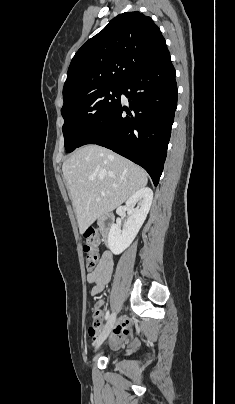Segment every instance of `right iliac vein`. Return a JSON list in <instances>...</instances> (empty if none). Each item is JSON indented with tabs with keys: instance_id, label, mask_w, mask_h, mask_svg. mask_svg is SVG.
Returning a JSON list of instances; mask_svg holds the SVG:
<instances>
[{
	"instance_id": "obj_1",
	"label": "right iliac vein",
	"mask_w": 235,
	"mask_h": 404,
	"mask_svg": "<svg viewBox=\"0 0 235 404\" xmlns=\"http://www.w3.org/2000/svg\"><path fill=\"white\" fill-rule=\"evenodd\" d=\"M116 324V315L113 314L112 317L108 320L98 342L96 345V350L100 347V345L105 341V339L107 338V336L109 335V333L111 332V330L113 329V327Z\"/></svg>"
}]
</instances>
